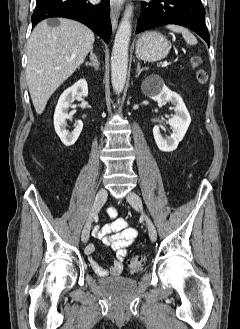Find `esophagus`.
Wrapping results in <instances>:
<instances>
[{
  "label": "esophagus",
  "mask_w": 240,
  "mask_h": 329,
  "mask_svg": "<svg viewBox=\"0 0 240 329\" xmlns=\"http://www.w3.org/2000/svg\"><path fill=\"white\" fill-rule=\"evenodd\" d=\"M119 15H120L119 5L112 1L110 7V18H111V25L113 30L117 28Z\"/></svg>",
  "instance_id": "1"
}]
</instances>
